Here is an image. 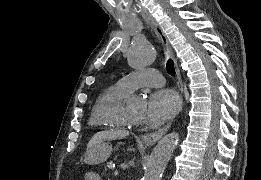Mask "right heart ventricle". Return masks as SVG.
I'll list each match as a JSON object with an SVG mask.
<instances>
[{
    "label": "right heart ventricle",
    "instance_id": "right-heart-ventricle-1",
    "mask_svg": "<svg viewBox=\"0 0 261 180\" xmlns=\"http://www.w3.org/2000/svg\"><path fill=\"white\" fill-rule=\"evenodd\" d=\"M127 92L118 84L105 89L96 99L90 119L89 128L93 131H120L117 128L115 115L120 108H124ZM118 137V136H114ZM112 139V138H91Z\"/></svg>",
    "mask_w": 261,
    "mask_h": 180
}]
</instances>
